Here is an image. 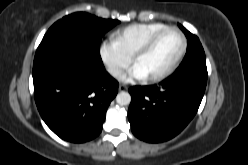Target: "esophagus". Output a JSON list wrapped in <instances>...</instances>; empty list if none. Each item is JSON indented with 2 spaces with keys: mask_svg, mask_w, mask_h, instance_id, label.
<instances>
[{
  "mask_svg": "<svg viewBox=\"0 0 248 165\" xmlns=\"http://www.w3.org/2000/svg\"><path fill=\"white\" fill-rule=\"evenodd\" d=\"M127 89H128V87L126 85H120L119 86V91H125Z\"/></svg>",
  "mask_w": 248,
  "mask_h": 165,
  "instance_id": "1",
  "label": "esophagus"
}]
</instances>
